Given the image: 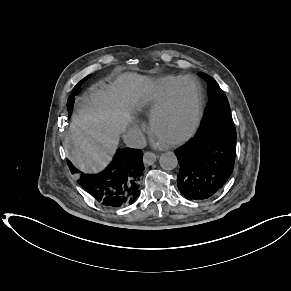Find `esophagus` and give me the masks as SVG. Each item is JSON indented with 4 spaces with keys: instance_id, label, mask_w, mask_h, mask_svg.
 <instances>
[{
    "instance_id": "esophagus-1",
    "label": "esophagus",
    "mask_w": 291,
    "mask_h": 291,
    "mask_svg": "<svg viewBox=\"0 0 291 291\" xmlns=\"http://www.w3.org/2000/svg\"><path fill=\"white\" fill-rule=\"evenodd\" d=\"M158 159V155L152 152H145L143 156V162L145 165L150 166Z\"/></svg>"
}]
</instances>
